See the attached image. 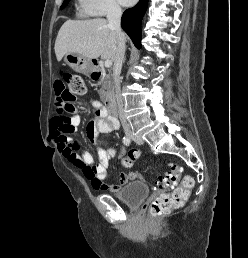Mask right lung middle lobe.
Wrapping results in <instances>:
<instances>
[{
    "label": "right lung middle lobe",
    "mask_w": 248,
    "mask_h": 258,
    "mask_svg": "<svg viewBox=\"0 0 248 258\" xmlns=\"http://www.w3.org/2000/svg\"><path fill=\"white\" fill-rule=\"evenodd\" d=\"M69 0H64L62 6H61V9H63L67 4H68Z\"/></svg>",
    "instance_id": "1"
}]
</instances>
